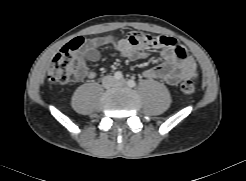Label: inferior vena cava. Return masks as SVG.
Segmentation results:
<instances>
[{
  "mask_svg": "<svg viewBox=\"0 0 246 181\" xmlns=\"http://www.w3.org/2000/svg\"><path fill=\"white\" fill-rule=\"evenodd\" d=\"M105 79H111V76H107Z\"/></svg>",
  "mask_w": 246,
  "mask_h": 181,
  "instance_id": "1",
  "label": "inferior vena cava"
}]
</instances>
